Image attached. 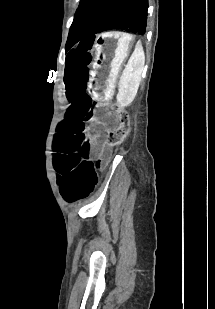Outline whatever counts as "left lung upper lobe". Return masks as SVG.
Segmentation results:
<instances>
[{
	"label": "left lung upper lobe",
	"instance_id": "obj_1",
	"mask_svg": "<svg viewBox=\"0 0 215 309\" xmlns=\"http://www.w3.org/2000/svg\"><path fill=\"white\" fill-rule=\"evenodd\" d=\"M148 0H81L69 31L66 46L93 34L112 29H128L144 34Z\"/></svg>",
	"mask_w": 215,
	"mask_h": 309
}]
</instances>
